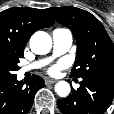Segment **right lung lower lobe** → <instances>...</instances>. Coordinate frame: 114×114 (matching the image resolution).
Instances as JSON below:
<instances>
[{"label": "right lung lower lobe", "mask_w": 114, "mask_h": 114, "mask_svg": "<svg viewBox=\"0 0 114 114\" xmlns=\"http://www.w3.org/2000/svg\"><path fill=\"white\" fill-rule=\"evenodd\" d=\"M23 85V81H18L16 77L0 83V114H27L35 93L45 84L40 76L33 75L26 86Z\"/></svg>", "instance_id": "98d812e1"}]
</instances>
